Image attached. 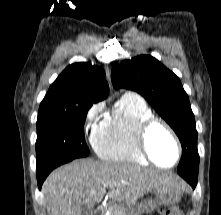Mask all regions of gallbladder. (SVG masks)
Segmentation results:
<instances>
[{"mask_svg": "<svg viewBox=\"0 0 221 215\" xmlns=\"http://www.w3.org/2000/svg\"><path fill=\"white\" fill-rule=\"evenodd\" d=\"M93 208L84 207L80 215H93Z\"/></svg>", "mask_w": 221, "mask_h": 215, "instance_id": "obj_1", "label": "gallbladder"}]
</instances>
